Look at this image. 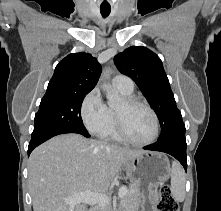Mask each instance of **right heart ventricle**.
<instances>
[{"instance_id": "obj_1", "label": "right heart ventricle", "mask_w": 221, "mask_h": 211, "mask_svg": "<svg viewBox=\"0 0 221 211\" xmlns=\"http://www.w3.org/2000/svg\"><path fill=\"white\" fill-rule=\"evenodd\" d=\"M124 96L130 97L132 93H126L124 91L119 90ZM113 122L109 130L103 135L104 138L111 140V141H121L118 132H117V126H116V119H115V112L111 110Z\"/></svg>"}]
</instances>
